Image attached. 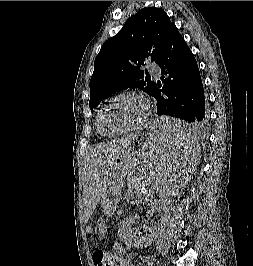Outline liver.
Segmentation results:
<instances>
[{
  "label": "liver",
  "instance_id": "6515ba94",
  "mask_svg": "<svg viewBox=\"0 0 253 266\" xmlns=\"http://www.w3.org/2000/svg\"><path fill=\"white\" fill-rule=\"evenodd\" d=\"M134 136H129L125 139L109 142L98 145L92 148L85 161V177L87 185L84 189L87 202L91 204L90 211L95 208L98 199L104 190L103 174L113 157L118 155L132 140Z\"/></svg>",
  "mask_w": 253,
  "mask_h": 266
}]
</instances>
